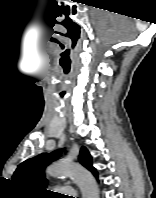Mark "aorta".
<instances>
[{
    "label": "aorta",
    "instance_id": "obj_1",
    "mask_svg": "<svg viewBox=\"0 0 156 198\" xmlns=\"http://www.w3.org/2000/svg\"><path fill=\"white\" fill-rule=\"evenodd\" d=\"M46 172L51 177H72L82 192V198H99L98 185L93 175L79 165L59 162L49 166Z\"/></svg>",
    "mask_w": 156,
    "mask_h": 198
}]
</instances>
